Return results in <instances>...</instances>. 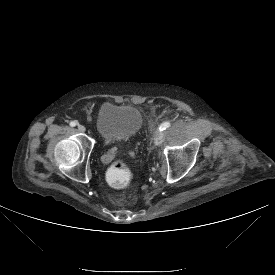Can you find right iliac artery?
<instances>
[{
    "label": "right iliac artery",
    "mask_w": 275,
    "mask_h": 275,
    "mask_svg": "<svg viewBox=\"0 0 275 275\" xmlns=\"http://www.w3.org/2000/svg\"><path fill=\"white\" fill-rule=\"evenodd\" d=\"M77 124H78L77 121H71V122L69 123V125H70L71 127H75Z\"/></svg>",
    "instance_id": "1"
}]
</instances>
